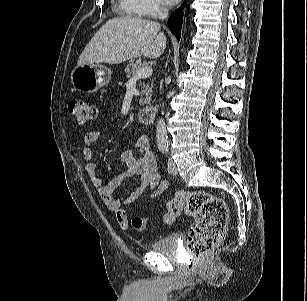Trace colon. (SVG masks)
Returning <instances> with one entry per match:
<instances>
[{"label":"colon","instance_id":"5ec220e1","mask_svg":"<svg viewBox=\"0 0 307 301\" xmlns=\"http://www.w3.org/2000/svg\"><path fill=\"white\" fill-rule=\"evenodd\" d=\"M69 111L79 126H84L97 117L96 106L82 99L71 100ZM181 213L194 218L186 240V248L190 254L197 257L205 255L222 240L228 210L221 198L204 190L178 191L168 201L167 212L162 221L172 224ZM149 222L148 218L134 217L132 226L143 231Z\"/></svg>","mask_w":307,"mask_h":301}]
</instances>
